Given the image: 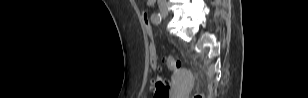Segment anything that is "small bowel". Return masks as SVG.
I'll return each instance as SVG.
<instances>
[{"label": "small bowel", "mask_w": 308, "mask_h": 98, "mask_svg": "<svg viewBox=\"0 0 308 98\" xmlns=\"http://www.w3.org/2000/svg\"><path fill=\"white\" fill-rule=\"evenodd\" d=\"M155 6V0H148L146 2V7L147 8H153Z\"/></svg>", "instance_id": "1"}]
</instances>
